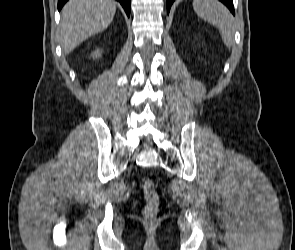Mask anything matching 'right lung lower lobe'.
I'll return each mask as SVG.
<instances>
[{
    "label": "right lung lower lobe",
    "mask_w": 295,
    "mask_h": 250,
    "mask_svg": "<svg viewBox=\"0 0 295 250\" xmlns=\"http://www.w3.org/2000/svg\"><path fill=\"white\" fill-rule=\"evenodd\" d=\"M67 1L68 0H58V10H61L63 5ZM117 1L121 3V5L123 6L127 16H130L131 0H117Z\"/></svg>",
    "instance_id": "obj_1"
}]
</instances>
